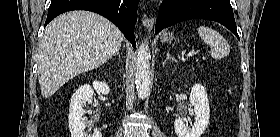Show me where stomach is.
Wrapping results in <instances>:
<instances>
[{
    "label": "stomach",
    "mask_w": 280,
    "mask_h": 137,
    "mask_svg": "<svg viewBox=\"0 0 280 137\" xmlns=\"http://www.w3.org/2000/svg\"><path fill=\"white\" fill-rule=\"evenodd\" d=\"M173 35L170 34V33H166V34H163L162 37H161V41L162 42H171L173 40Z\"/></svg>",
    "instance_id": "0dacf381"
}]
</instances>
